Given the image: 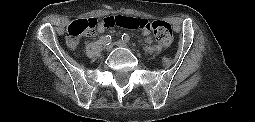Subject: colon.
<instances>
[{"label":"colon","mask_w":255,"mask_h":122,"mask_svg":"<svg viewBox=\"0 0 255 122\" xmlns=\"http://www.w3.org/2000/svg\"><path fill=\"white\" fill-rule=\"evenodd\" d=\"M109 27L117 26L131 30H143L152 32L157 41L164 47H169L172 42V28L169 23L161 20H148L130 16H111L106 18ZM97 26L94 18L73 21L67 28V42L75 47L82 36L92 34Z\"/></svg>","instance_id":"5ec220e1"}]
</instances>
